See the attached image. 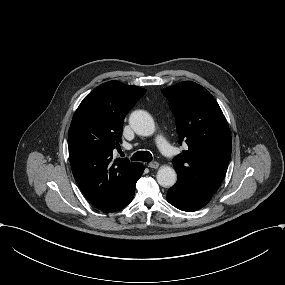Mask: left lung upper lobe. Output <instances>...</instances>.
I'll return each mask as SVG.
<instances>
[{"label":"left lung upper lobe","instance_id":"obj_1","mask_svg":"<svg viewBox=\"0 0 285 285\" xmlns=\"http://www.w3.org/2000/svg\"><path fill=\"white\" fill-rule=\"evenodd\" d=\"M162 93L176 118L179 143L188 145L173 159L178 179L213 194L223 181L231 156L225 116L214 97L197 83L181 82Z\"/></svg>","mask_w":285,"mask_h":285}]
</instances>
